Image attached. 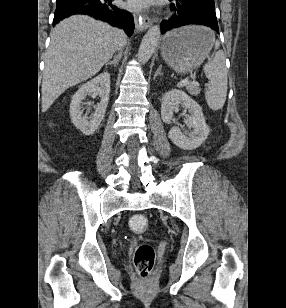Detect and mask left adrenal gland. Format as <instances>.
Here are the masks:
<instances>
[{"mask_svg": "<svg viewBox=\"0 0 286 308\" xmlns=\"http://www.w3.org/2000/svg\"><path fill=\"white\" fill-rule=\"evenodd\" d=\"M161 69H162V65L159 66V68L157 69V71L155 72L154 76H153V80H155V78L160 75L162 76L163 73L161 72Z\"/></svg>", "mask_w": 286, "mask_h": 308, "instance_id": "left-adrenal-gland-1", "label": "left adrenal gland"}]
</instances>
